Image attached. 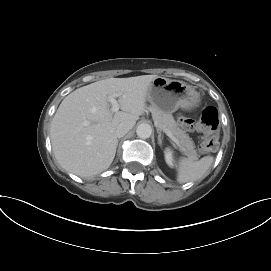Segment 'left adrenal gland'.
<instances>
[{"label": "left adrenal gland", "instance_id": "1", "mask_svg": "<svg viewBox=\"0 0 271 271\" xmlns=\"http://www.w3.org/2000/svg\"><path fill=\"white\" fill-rule=\"evenodd\" d=\"M162 139H163V136H162L161 132L158 131V144H159V146H162Z\"/></svg>", "mask_w": 271, "mask_h": 271}]
</instances>
